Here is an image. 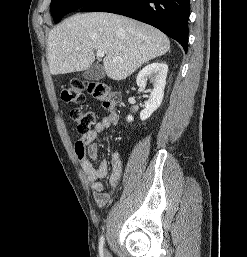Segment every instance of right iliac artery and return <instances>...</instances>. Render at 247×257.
<instances>
[{
    "label": "right iliac artery",
    "mask_w": 247,
    "mask_h": 257,
    "mask_svg": "<svg viewBox=\"0 0 247 257\" xmlns=\"http://www.w3.org/2000/svg\"><path fill=\"white\" fill-rule=\"evenodd\" d=\"M103 245H104V236H101L99 241V252L101 257H103Z\"/></svg>",
    "instance_id": "1"
}]
</instances>
